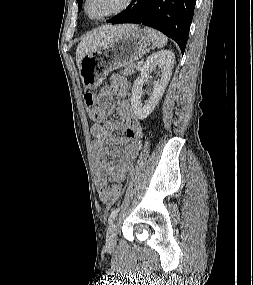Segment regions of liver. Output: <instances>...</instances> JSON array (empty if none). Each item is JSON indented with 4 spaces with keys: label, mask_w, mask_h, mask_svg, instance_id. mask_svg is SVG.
Wrapping results in <instances>:
<instances>
[{
    "label": "liver",
    "mask_w": 253,
    "mask_h": 285,
    "mask_svg": "<svg viewBox=\"0 0 253 285\" xmlns=\"http://www.w3.org/2000/svg\"><path fill=\"white\" fill-rule=\"evenodd\" d=\"M134 25H119V26H103L95 31L87 33L79 43L77 50H76V63L77 66H80V62L82 58L97 50L100 47L105 46L110 41H112L115 37L119 36L120 34L127 32L133 29Z\"/></svg>",
    "instance_id": "6515ba94"
}]
</instances>
